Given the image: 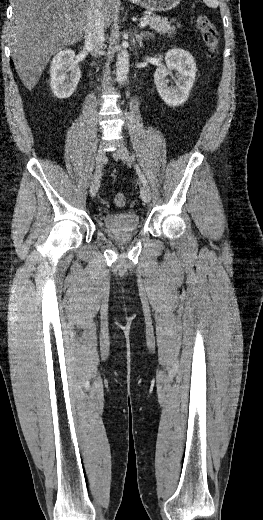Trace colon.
<instances>
[{"instance_id": "5ec220e1", "label": "colon", "mask_w": 263, "mask_h": 520, "mask_svg": "<svg viewBox=\"0 0 263 520\" xmlns=\"http://www.w3.org/2000/svg\"><path fill=\"white\" fill-rule=\"evenodd\" d=\"M195 26L201 34L206 47L207 56L209 58H215L218 55L220 46V35L217 27L203 14H199L195 17ZM114 201L118 207H123L126 204V197L123 193H117Z\"/></svg>"}]
</instances>
